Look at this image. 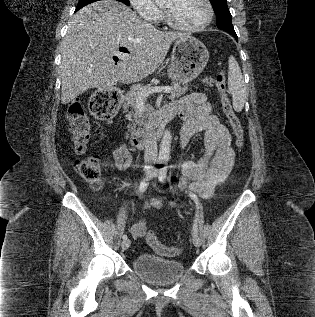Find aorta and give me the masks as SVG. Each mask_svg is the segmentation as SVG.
<instances>
[{"instance_id": "1", "label": "aorta", "mask_w": 315, "mask_h": 317, "mask_svg": "<svg viewBox=\"0 0 315 317\" xmlns=\"http://www.w3.org/2000/svg\"><path fill=\"white\" fill-rule=\"evenodd\" d=\"M158 1V0H156ZM172 136L170 130H165L160 143L159 160L168 161L170 157Z\"/></svg>"}]
</instances>
